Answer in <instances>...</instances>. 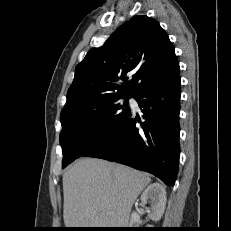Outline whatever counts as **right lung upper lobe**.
Listing matches in <instances>:
<instances>
[{"label": "right lung upper lobe", "instance_id": "right-lung-upper-lobe-1", "mask_svg": "<svg viewBox=\"0 0 231 231\" xmlns=\"http://www.w3.org/2000/svg\"><path fill=\"white\" fill-rule=\"evenodd\" d=\"M179 73L167 33L150 17L135 16L76 66L61 116L119 97H135L142 89L175 79ZM130 74L132 79L126 81Z\"/></svg>", "mask_w": 231, "mask_h": 231}]
</instances>
